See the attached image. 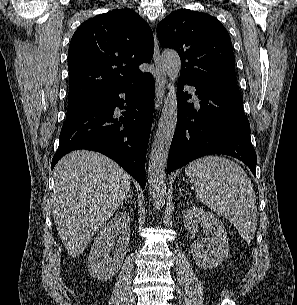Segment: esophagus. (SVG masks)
Returning a JSON list of instances; mask_svg holds the SVG:
<instances>
[{
	"instance_id": "34e87169",
	"label": "esophagus",
	"mask_w": 297,
	"mask_h": 305,
	"mask_svg": "<svg viewBox=\"0 0 297 305\" xmlns=\"http://www.w3.org/2000/svg\"><path fill=\"white\" fill-rule=\"evenodd\" d=\"M154 64L156 68V77H155V109L158 111L162 105L163 99L167 90V76L164 70L160 49L158 45V40L156 33H154Z\"/></svg>"
}]
</instances>
